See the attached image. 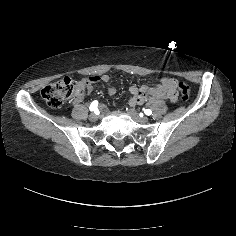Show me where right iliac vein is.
<instances>
[{
  "label": "right iliac vein",
  "mask_w": 236,
  "mask_h": 236,
  "mask_svg": "<svg viewBox=\"0 0 236 236\" xmlns=\"http://www.w3.org/2000/svg\"><path fill=\"white\" fill-rule=\"evenodd\" d=\"M98 119V115L95 114V113H91L90 116H89V120L92 121V122H95L97 121Z\"/></svg>",
  "instance_id": "right-iliac-vein-1"
}]
</instances>
